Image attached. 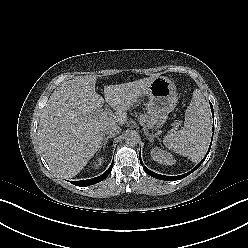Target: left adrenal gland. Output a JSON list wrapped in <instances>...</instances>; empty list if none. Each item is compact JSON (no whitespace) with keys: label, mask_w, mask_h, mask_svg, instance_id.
<instances>
[{"label":"left adrenal gland","mask_w":248,"mask_h":248,"mask_svg":"<svg viewBox=\"0 0 248 248\" xmlns=\"http://www.w3.org/2000/svg\"><path fill=\"white\" fill-rule=\"evenodd\" d=\"M147 139L150 141V142H153L154 141V137L155 135H152V134H149L148 132H144Z\"/></svg>","instance_id":"a2214340"}]
</instances>
